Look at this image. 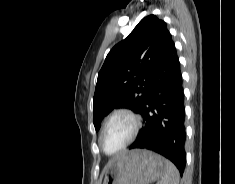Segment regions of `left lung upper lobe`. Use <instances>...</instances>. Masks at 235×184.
<instances>
[{
  "label": "left lung upper lobe",
  "mask_w": 235,
  "mask_h": 184,
  "mask_svg": "<svg viewBox=\"0 0 235 184\" xmlns=\"http://www.w3.org/2000/svg\"><path fill=\"white\" fill-rule=\"evenodd\" d=\"M169 34L164 21L149 15L111 49L98 73L93 98L96 130L103 117L114 108H128L140 113Z\"/></svg>",
  "instance_id": "obj_1"
}]
</instances>
